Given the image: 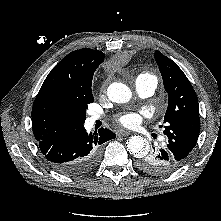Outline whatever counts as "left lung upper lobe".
<instances>
[{
  "instance_id": "5c2ea615",
  "label": "left lung upper lobe",
  "mask_w": 221,
  "mask_h": 221,
  "mask_svg": "<svg viewBox=\"0 0 221 221\" xmlns=\"http://www.w3.org/2000/svg\"><path fill=\"white\" fill-rule=\"evenodd\" d=\"M154 58L169 97L163 121V132L168 138L166 144L184 162L196 145L200 131L197 95L177 64L158 50L154 53Z\"/></svg>"
}]
</instances>
